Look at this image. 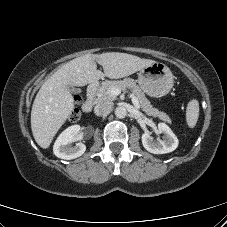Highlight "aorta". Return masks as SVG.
I'll return each mask as SVG.
<instances>
[{"instance_id": "obj_1", "label": "aorta", "mask_w": 227, "mask_h": 227, "mask_svg": "<svg viewBox=\"0 0 227 227\" xmlns=\"http://www.w3.org/2000/svg\"><path fill=\"white\" fill-rule=\"evenodd\" d=\"M115 115L117 118H125L127 116V110L125 107L123 106H118L116 109H115Z\"/></svg>"}]
</instances>
